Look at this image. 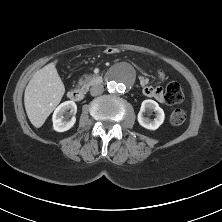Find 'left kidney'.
Returning a JSON list of instances; mask_svg holds the SVG:
<instances>
[{"instance_id":"1","label":"left kidney","mask_w":222,"mask_h":222,"mask_svg":"<svg viewBox=\"0 0 222 222\" xmlns=\"http://www.w3.org/2000/svg\"><path fill=\"white\" fill-rule=\"evenodd\" d=\"M151 111L156 112V117L154 120H150L149 118L143 116V113ZM164 118V111L161 107H159L156 101L148 99L142 102L140 112L137 117L138 122L142 127L148 130H156L163 123Z\"/></svg>"}]
</instances>
